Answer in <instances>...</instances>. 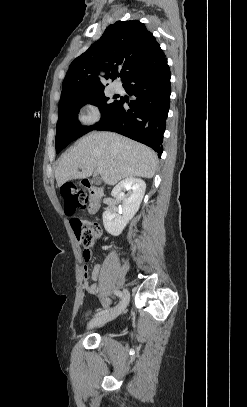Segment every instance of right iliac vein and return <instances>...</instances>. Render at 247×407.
Segmentation results:
<instances>
[{"instance_id": "1", "label": "right iliac vein", "mask_w": 247, "mask_h": 407, "mask_svg": "<svg viewBox=\"0 0 247 407\" xmlns=\"http://www.w3.org/2000/svg\"><path fill=\"white\" fill-rule=\"evenodd\" d=\"M129 292L125 289L124 290V295L122 300L120 301V303L113 308L112 310H110L109 312L102 314L100 316H98L97 318L93 319L89 324H88V328H93V327H97V326H102L105 323L115 319L117 316H119L124 309L127 307L128 302H129Z\"/></svg>"}]
</instances>
